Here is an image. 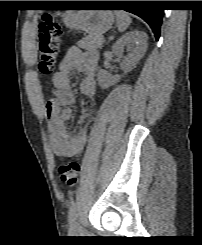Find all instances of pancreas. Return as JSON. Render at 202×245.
Listing matches in <instances>:
<instances>
[{"label": "pancreas", "instance_id": "1", "mask_svg": "<svg viewBox=\"0 0 202 245\" xmlns=\"http://www.w3.org/2000/svg\"><path fill=\"white\" fill-rule=\"evenodd\" d=\"M103 43L104 41L101 36L89 35L80 40L77 44L82 49L93 50L101 48Z\"/></svg>", "mask_w": 202, "mask_h": 245}]
</instances>
